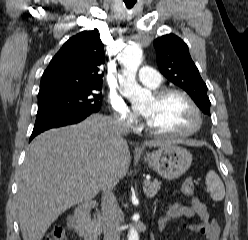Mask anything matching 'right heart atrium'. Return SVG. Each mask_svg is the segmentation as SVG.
Masks as SVG:
<instances>
[{
  "label": "right heart atrium",
  "instance_id": "d8ad5b80",
  "mask_svg": "<svg viewBox=\"0 0 248 240\" xmlns=\"http://www.w3.org/2000/svg\"><path fill=\"white\" fill-rule=\"evenodd\" d=\"M110 105L113 111L115 120L127 128H135L138 124L136 115L127 106L124 100L120 97H112Z\"/></svg>",
  "mask_w": 248,
  "mask_h": 240
}]
</instances>
